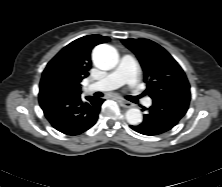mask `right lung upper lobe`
<instances>
[{"instance_id":"1","label":"right lung upper lobe","mask_w":222,"mask_h":187,"mask_svg":"<svg viewBox=\"0 0 222 187\" xmlns=\"http://www.w3.org/2000/svg\"><path fill=\"white\" fill-rule=\"evenodd\" d=\"M109 39L101 35H88L71 42L47 64L41 82L46 78H55L71 91L81 94L80 82L89 75L91 69V50Z\"/></svg>"}]
</instances>
